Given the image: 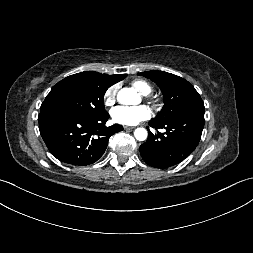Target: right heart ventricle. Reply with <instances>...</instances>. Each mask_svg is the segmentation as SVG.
Here are the masks:
<instances>
[{"label": "right heart ventricle", "instance_id": "e07e8e85", "mask_svg": "<svg viewBox=\"0 0 253 253\" xmlns=\"http://www.w3.org/2000/svg\"><path fill=\"white\" fill-rule=\"evenodd\" d=\"M132 86L141 94L148 95L152 91V85L144 79H134Z\"/></svg>", "mask_w": 253, "mask_h": 253}]
</instances>
